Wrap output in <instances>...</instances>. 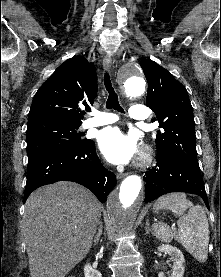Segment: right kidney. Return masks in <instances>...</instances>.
Returning a JSON list of instances; mask_svg holds the SVG:
<instances>
[{"label":"right kidney","mask_w":221,"mask_h":277,"mask_svg":"<svg viewBox=\"0 0 221 277\" xmlns=\"http://www.w3.org/2000/svg\"><path fill=\"white\" fill-rule=\"evenodd\" d=\"M84 275L85 277H102L101 273L93 268L89 263L84 266Z\"/></svg>","instance_id":"1"}]
</instances>
